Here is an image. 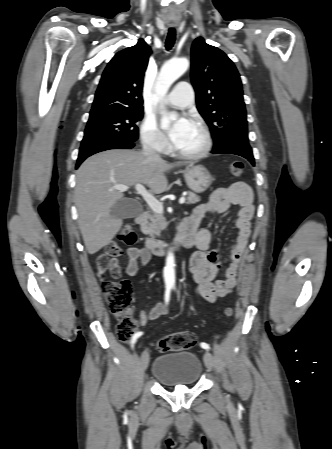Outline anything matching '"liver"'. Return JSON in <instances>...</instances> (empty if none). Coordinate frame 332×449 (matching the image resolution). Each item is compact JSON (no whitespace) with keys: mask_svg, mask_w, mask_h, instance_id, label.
<instances>
[{"mask_svg":"<svg viewBox=\"0 0 332 449\" xmlns=\"http://www.w3.org/2000/svg\"><path fill=\"white\" fill-rule=\"evenodd\" d=\"M178 165L149 160L132 150L104 151L84 161L76 173L75 203L88 253L108 245L122 227V219L110 213L124 197L115 185L144 184L160 194L167 188L165 172Z\"/></svg>","mask_w":332,"mask_h":449,"instance_id":"liver-1","label":"liver"}]
</instances>
